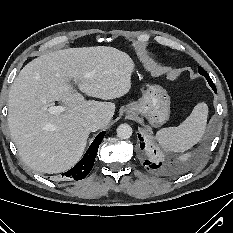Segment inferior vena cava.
Masks as SVG:
<instances>
[{"instance_id":"obj_1","label":"inferior vena cava","mask_w":233,"mask_h":233,"mask_svg":"<svg viewBox=\"0 0 233 233\" xmlns=\"http://www.w3.org/2000/svg\"><path fill=\"white\" fill-rule=\"evenodd\" d=\"M102 124H103L102 119L96 115H89L82 122V126L86 130L93 132L99 130Z\"/></svg>"}]
</instances>
